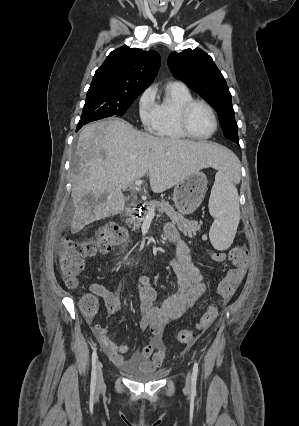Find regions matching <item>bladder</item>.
I'll return each instance as SVG.
<instances>
[{"label":"bladder","instance_id":"1","mask_svg":"<svg viewBox=\"0 0 299 426\" xmlns=\"http://www.w3.org/2000/svg\"><path fill=\"white\" fill-rule=\"evenodd\" d=\"M124 373L131 379L139 382H152L163 378L166 370L161 367L155 368H126Z\"/></svg>","mask_w":299,"mask_h":426}]
</instances>
